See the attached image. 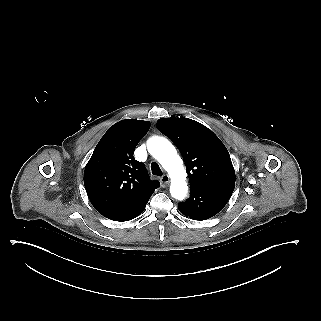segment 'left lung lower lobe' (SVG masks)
I'll return each mask as SVG.
<instances>
[{"label": "left lung lower lobe", "mask_w": 321, "mask_h": 321, "mask_svg": "<svg viewBox=\"0 0 321 321\" xmlns=\"http://www.w3.org/2000/svg\"><path fill=\"white\" fill-rule=\"evenodd\" d=\"M235 184L191 187L190 198L178 204L179 211L193 220H206L220 212L232 195Z\"/></svg>", "instance_id": "obj_1"}]
</instances>
